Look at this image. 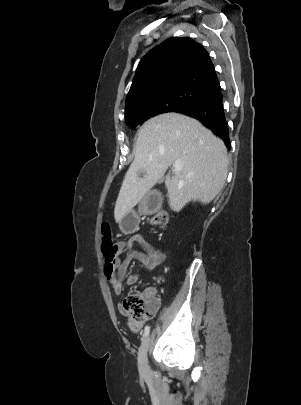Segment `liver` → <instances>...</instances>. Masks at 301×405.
I'll use <instances>...</instances> for the list:
<instances>
[{"mask_svg": "<svg viewBox=\"0 0 301 405\" xmlns=\"http://www.w3.org/2000/svg\"><path fill=\"white\" fill-rule=\"evenodd\" d=\"M173 166L165 186L169 206L179 212L190 201L211 202L227 177V150L222 140L197 120L166 113L147 120L138 131L135 157L116 200L114 218L119 223ZM139 171L145 175L140 178Z\"/></svg>", "mask_w": 301, "mask_h": 405, "instance_id": "obj_1", "label": "liver"}]
</instances>
